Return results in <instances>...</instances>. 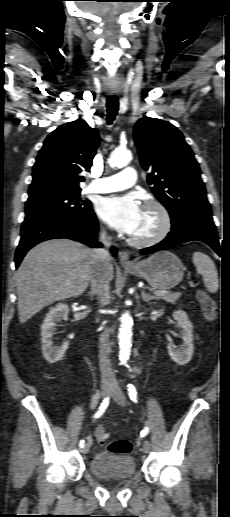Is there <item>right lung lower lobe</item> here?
I'll use <instances>...</instances> for the list:
<instances>
[{"label": "right lung lower lobe", "mask_w": 230, "mask_h": 517, "mask_svg": "<svg viewBox=\"0 0 230 517\" xmlns=\"http://www.w3.org/2000/svg\"><path fill=\"white\" fill-rule=\"evenodd\" d=\"M98 221L93 211L83 214L44 212L25 217L21 226V240L15 253L16 267L26 252L36 244L56 238H68L91 247H100L96 233ZM116 255L115 248L111 249Z\"/></svg>", "instance_id": "1"}]
</instances>
